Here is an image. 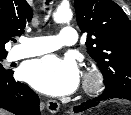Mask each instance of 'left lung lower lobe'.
I'll return each instance as SVG.
<instances>
[{"instance_id":"left-lung-lower-lobe-1","label":"left lung lower lobe","mask_w":131,"mask_h":115,"mask_svg":"<svg viewBox=\"0 0 131 115\" xmlns=\"http://www.w3.org/2000/svg\"><path fill=\"white\" fill-rule=\"evenodd\" d=\"M112 98H120V99L123 98V99L131 100V94H106V93H103V95H101L95 99L88 100V101L80 104L79 106L74 107V112L79 113V112L85 111L91 107L98 105L99 103H101V101H104L107 99H112Z\"/></svg>"}]
</instances>
